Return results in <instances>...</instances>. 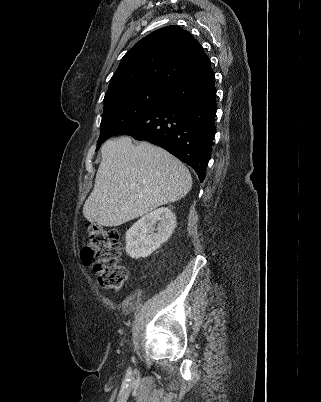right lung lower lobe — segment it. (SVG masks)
<instances>
[{
	"mask_svg": "<svg viewBox=\"0 0 321 402\" xmlns=\"http://www.w3.org/2000/svg\"><path fill=\"white\" fill-rule=\"evenodd\" d=\"M216 110L214 72L209 65L171 84L165 100L116 135L163 147L190 165L202 182L216 132Z\"/></svg>",
	"mask_w": 321,
	"mask_h": 402,
	"instance_id": "98d812e1",
	"label": "right lung lower lobe"
}]
</instances>
